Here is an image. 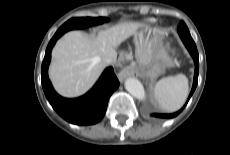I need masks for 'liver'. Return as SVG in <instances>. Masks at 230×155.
<instances>
[{"label":"liver","mask_w":230,"mask_h":155,"mask_svg":"<svg viewBox=\"0 0 230 155\" xmlns=\"http://www.w3.org/2000/svg\"><path fill=\"white\" fill-rule=\"evenodd\" d=\"M142 27L140 22L129 21L100 31L96 37L80 31L66 33L53 48L49 67L56 91L71 98L86 93L102 73L105 57Z\"/></svg>","instance_id":"1"}]
</instances>
